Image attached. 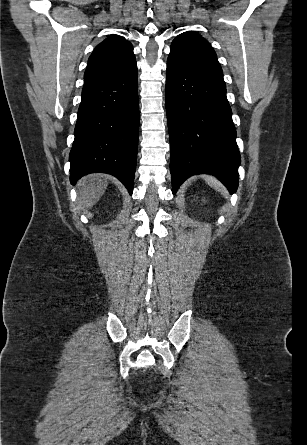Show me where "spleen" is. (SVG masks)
I'll use <instances>...</instances> for the list:
<instances>
[{
	"label": "spleen",
	"mask_w": 307,
	"mask_h": 445,
	"mask_svg": "<svg viewBox=\"0 0 307 445\" xmlns=\"http://www.w3.org/2000/svg\"><path fill=\"white\" fill-rule=\"evenodd\" d=\"M204 180H206V182H207V184H209V186H214V188H218V190H220V192H223V186H222L221 182H219V180H217V178H215V176H208V174H205Z\"/></svg>",
	"instance_id": "3e777b00"
}]
</instances>
